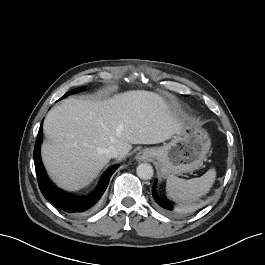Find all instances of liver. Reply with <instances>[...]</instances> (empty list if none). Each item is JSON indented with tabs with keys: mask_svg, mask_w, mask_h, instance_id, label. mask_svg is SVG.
I'll return each mask as SVG.
<instances>
[{
	"mask_svg": "<svg viewBox=\"0 0 265 265\" xmlns=\"http://www.w3.org/2000/svg\"><path fill=\"white\" fill-rule=\"evenodd\" d=\"M184 124L154 92L128 91L98 101L69 98L44 120L49 142L42 145V160L59 187L79 190L109 162L104 153L109 146L122 159L132 144L164 142Z\"/></svg>",
	"mask_w": 265,
	"mask_h": 265,
	"instance_id": "1",
	"label": "liver"
}]
</instances>
